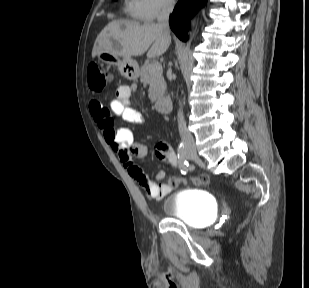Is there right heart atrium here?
<instances>
[{
	"mask_svg": "<svg viewBox=\"0 0 309 288\" xmlns=\"http://www.w3.org/2000/svg\"><path fill=\"white\" fill-rule=\"evenodd\" d=\"M146 19H154L160 14L170 11L175 0H138Z\"/></svg>",
	"mask_w": 309,
	"mask_h": 288,
	"instance_id": "1",
	"label": "right heart atrium"
}]
</instances>
